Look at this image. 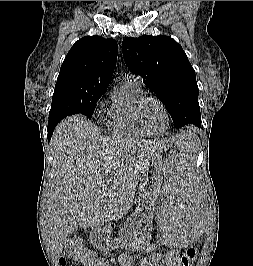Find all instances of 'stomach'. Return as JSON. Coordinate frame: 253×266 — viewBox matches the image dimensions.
Returning a JSON list of instances; mask_svg holds the SVG:
<instances>
[{"label": "stomach", "mask_w": 253, "mask_h": 266, "mask_svg": "<svg viewBox=\"0 0 253 266\" xmlns=\"http://www.w3.org/2000/svg\"><path fill=\"white\" fill-rule=\"evenodd\" d=\"M166 169L161 156L153 157L147 164L140 180L138 206L126 220L119 232L116 243L128 251H140L147 247L151 239V228L155 212L154 197L161 188L162 173ZM112 243L105 238L99 243L103 249L111 248Z\"/></svg>", "instance_id": "stomach-1"}]
</instances>
